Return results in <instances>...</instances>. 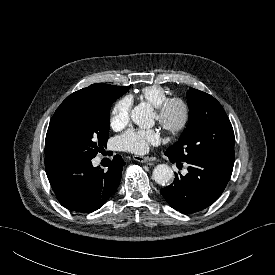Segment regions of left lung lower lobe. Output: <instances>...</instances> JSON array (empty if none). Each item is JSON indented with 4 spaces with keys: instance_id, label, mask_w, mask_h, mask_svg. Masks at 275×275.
Here are the masks:
<instances>
[{
    "instance_id": "obj_1",
    "label": "left lung lower lobe",
    "mask_w": 275,
    "mask_h": 275,
    "mask_svg": "<svg viewBox=\"0 0 275 275\" xmlns=\"http://www.w3.org/2000/svg\"><path fill=\"white\" fill-rule=\"evenodd\" d=\"M171 162L175 160L169 156ZM185 176L175 173L174 182L160 192L167 203L182 213H194L212 205L224 191L230 180L234 162L209 157H197L186 162Z\"/></svg>"
}]
</instances>
